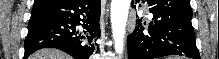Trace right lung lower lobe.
Masks as SVG:
<instances>
[{
    "label": "right lung lower lobe",
    "instance_id": "obj_1",
    "mask_svg": "<svg viewBox=\"0 0 219 59\" xmlns=\"http://www.w3.org/2000/svg\"><path fill=\"white\" fill-rule=\"evenodd\" d=\"M101 0H46L34 4L31 16L45 18L29 23L26 59L41 48H57L74 59H89L97 52ZM83 29H82V28Z\"/></svg>",
    "mask_w": 219,
    "mask_h": 59
}]
</instances>
